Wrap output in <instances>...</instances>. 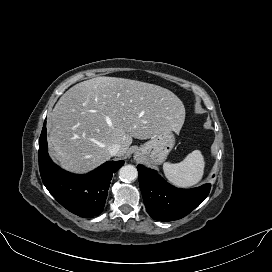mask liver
Listing matches in <instances>:
<instances>
[{
  "mask_svg": "<svg viewBox=\"0 0 272 272\" xmlns=\"http://www.w3.org/2000/svg\"><path fill=\"white\" fill-rule=\"evenodd\" d=\"M185 120L182 101L170 90L141 81L96 77L80 82L58 100L48 126V146L64 169L87 173L120 145L123 157L133 138L149 139L171 129L178 133Z\"/></svg>",
  "mask_w": 272,
  "mask_h": 272,
  "instance_id": "liver-1",
  "label": "liver"
}]
</instances>
